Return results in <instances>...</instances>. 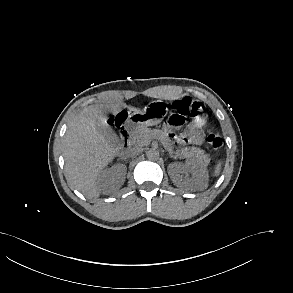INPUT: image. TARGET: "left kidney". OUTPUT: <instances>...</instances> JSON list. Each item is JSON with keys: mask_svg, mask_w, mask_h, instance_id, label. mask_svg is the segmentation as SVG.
I'll list each match as a JSON object with an SVG mask.
<instances>
[{"mask_svg": "<svg viewBox=\"0 0 293 293\" xmlns=\"http://www.w3.org/2000/svg\"><path fill=\"white\" fill-rule=\"evenodd\" d=\"M170 175L177 187H190L195 190H204L208 186V171L202 163L187 161L186 163H172L169 165ZM191 173L192 178H183L180 174Z\"/></svg>", "mask_w": 293, "mask_h": 293, "instance_id": "5707ae66", "label": "left kidney"}]
</instances>
